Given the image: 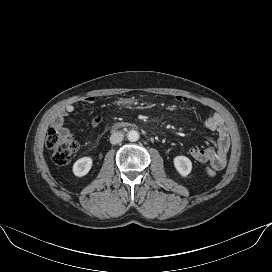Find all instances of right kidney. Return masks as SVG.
<instances>
[{"label":"right kidney","instance_id":"1","mask_svg":"<svg viewBox=\"0 0 272 272\" xmlns=\"http://www.w3.org/2000/svg\"><path fill=\"white\" fill-rule=\"evenodd\" d=\"M92 167V158L91 157H82L78 159L73 165V173L77 177H82L88 174Z\"/></svg>","mask_w":272,"mask_h":272}]
</instances>
